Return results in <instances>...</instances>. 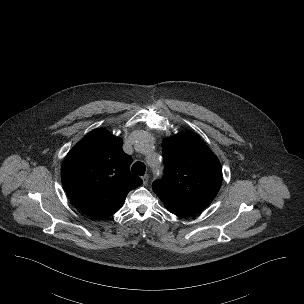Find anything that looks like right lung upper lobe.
Wrapping results in <instances>:
<instances>
[{"label": "right lung upper lobe", "mask_w": 304, "mask_h": 304, "mask_svg": "<svg viewBox=\"0 0 304 304\" xmlns=\"http://www.w3.org/2000/svg\"><path fill=\"white\" fill-rule=\"evenodd\" d=\"M131 163L120 138L105 129L95 130L64 159V189L82 212L96 219L107 218L119 210L129 191L143 183L130 172Z\"/></svg>", "instance_id": "cb5924a9"}]
</instances>
